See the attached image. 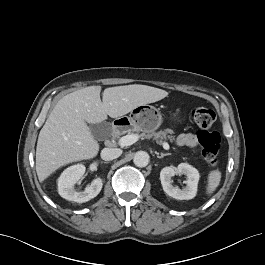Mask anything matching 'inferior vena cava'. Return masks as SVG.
Listing matches in <instances>:
<instances>
[{"label": "inferior vena cava", "instance_id": "obj_1", "mask_svg": "<svg viewBox=\"0 0 265 265\" xmlns=\"http://www.w3.org/2000/svg\"><path fill=\"white\" fill-rule=\"evenodd\" d=\"M122 154V150L119 148H104L101 151V158L105 161H110L118 158Z\"/></svg>", "mask_w": 265, "mask_h": 265}]
</instances>
